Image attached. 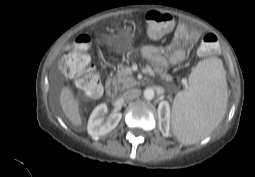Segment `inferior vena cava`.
<instances>
[{"mask_svg":"<svg viewBox=\"0 0 255 177\" xmlns=\"http://www.w3.org/2000/svg\"><path fill=\"white\" fill-rule=\"evenodd\" d=\"M140 90L139 89H129L123 93V97L127 101L134 100L140 96Z\"/></svg>","mask_w":255,"mask_h":177,"instance_id":"obj_1","label":"inferior vena cava"}]
</instances>
